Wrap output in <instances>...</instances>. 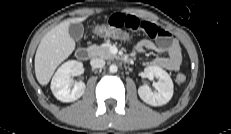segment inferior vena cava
I'll return each mask as SVG.
<instances>
[{
    "label": "inferior vena cava",
    "mask_w": 231,
    "mask_h": 134,
    "mask_svg": "<svg viewBox=\"0 0 231 134\" xmlns=\"http://www.w3.org/2000/svg\"><path fill=\"white\" fill-rule=\"evenodd\" d=\"M90 64L93 68H102L105 66V61L101 58H93Z\"/></svg>",
    "instance_id": "1"
}]
</instances>
